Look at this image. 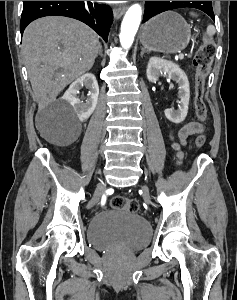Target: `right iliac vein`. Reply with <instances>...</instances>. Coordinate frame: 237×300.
<instances>
[{"mask_svg": "<svg viewBox=\"0 0 237 300\" xmlns=\"http://www.w3.org/2000/svg\"><path fill=\"white\" fill-rule=\"evenodd\" d=\"M101 187H102V186L98 187V190H99V191H101Z\"/></svg>", "mask_w": 237, "mask_h": 300, "instance_id": "right-iliac-vein-1", "label": "right iliac vein"}]
</instances>
